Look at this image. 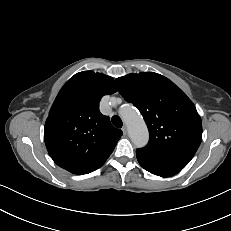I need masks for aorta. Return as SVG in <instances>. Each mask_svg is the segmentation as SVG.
Returning <instances> with one entry per match:
<instances>
[{
  "label": "aorta",
  "mask_w": 231,
  "mask_h": 231,
  "mask_svg": "<svg viewBox=\"0 0 231 231\" xmlns=\"http://www.w3.org/2000/svg\"><path fill=\"white\" fill-rule=\"evenodd\" d=\"M119 113L127 124L132 143L137 147L145 146L149 140V132L140 113L129 105L122 107Z\"/></svg>",
  "instance_id": "aorta-1"
}]
</instances>
